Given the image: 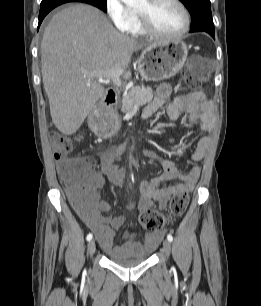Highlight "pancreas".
<instances>
[{
    "instance_id": "1",
    "label": "pancreas",
    "mask_w": 261,
    "mask_h": 306,
    "mask_svg": "<svg viewBox=\"0 0 261 306\" xmlns=\"http://www.w3.org/2000/svg\"><path fill=\"white\" fill-rule=\"evenodd\" d=\"M153 91L150 87L143 88L135 86L131 88L122 98L121 111L123 113L131 112L153 99Z\"/></svg>"
}]
</instances>
